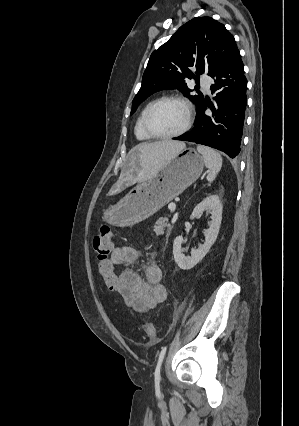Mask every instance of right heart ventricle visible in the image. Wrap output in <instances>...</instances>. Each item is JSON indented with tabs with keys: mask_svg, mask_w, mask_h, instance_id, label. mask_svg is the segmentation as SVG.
<instances>
[{
	"mask_svg": "<svg viewBox=\"0 0 299 426\" xmlns=\"http://www.w3.org/2000/svg\"><path fill=\"white\" fill-rule=\"evenodd\" d=\"M154 102V100H150L148 101L141 109L139 116L137 118L136 124H135V128H134V132H135V136L138 140L140 141H148L151 139V137L145 132L144 128H143V119L145 116V113L148 109V107Z\"/></svg>",
	"mask_w": 299,
	"mask_h": 426,
	"instance_id": "right-heart-ventricle-1",
	"label": "right heart ventricle"
}]
</instances>
